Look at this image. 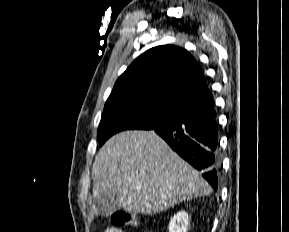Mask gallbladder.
Returning <instances> with one entry per match:
<instances>
[{"label": "gallbladder", "instance_id": "obj_1", "mask_svg": "<svg viewBox=\"0 0 289 232\" xmlns=\"http://www.w3.org/2000/svg\"><path fill=\"white\" fill-rule=\"evenodd\" d=\"M94 206L99 215H111L121 208L118 203V192H108L107 195H102L100 198H95Z\"/></svg>", "mask_w": 289, "mask_h": 232}]
</instances>
